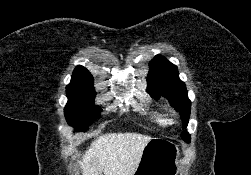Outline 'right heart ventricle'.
<instances>
[{
    "mask_svg": "<svg viewBox=\"0 0 251 175\" xmlns=\"http://www.w3.org/2000/svg\"><path fill=\"white\" fill-rule=\"evenodd\" d=\"M152 120L162 127H167L171 124L166 114L159 108L155 107L151 110Z\"/></svg>",
    "mask_w": 251,
    "mask_h": 175,
    "instance_id": "obj_1",
    "label": "right heart ventricle"
}]
</instances>
